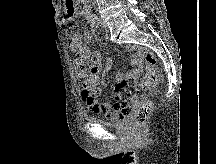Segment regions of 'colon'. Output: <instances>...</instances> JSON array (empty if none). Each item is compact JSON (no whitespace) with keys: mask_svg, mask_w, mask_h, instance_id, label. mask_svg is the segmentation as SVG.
<instances>
[{"mask_svg":"<svg viewBox=\"0 0 216 164\" xmlns=\"http://www.w3.org/2000/svg\"><path fill=\"white\" fill-rule=\"evenodd\" d=\"M145 62L147 65V71L143 78L140 80L138 84L132 80H126L122 84V89L126 92H130L132 89H135L137 92L139 91H147L153 87V85L157 81V76L155 73V66L158 63L156 56L148 52L145 54ZM152 111V105L149 101H144L138 107L134 115V122L137 126L143 125L147 119L149 118Z\"/></svg>","mask_w":216,"mask_h":164,"instance_id":"obj_1","label":"colon"}]
</instances>
